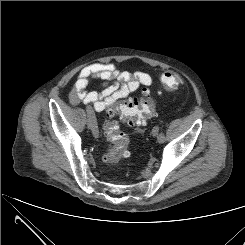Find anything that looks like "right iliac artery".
<instances>
[{
  "label": "right iliac artery",
  "instance_id": "right-iliac-artery-1",
  "mask_svg": "<svg viewBox=\"0 0 245 245\" xmlns=\"http://www.w3.org/2000/svg\"><path fill=\"white\" fill-rule=\"evenodd\" d=\"M86 111H87L88 117L92 121V128H93L92 131H93V133H96L97 135H99L98 126H97V120L95 118L93 109L91 107L87 106Z\"/></svg>",
  "mask_w": 245,
  "mask_h": 245
}]
</instances>
